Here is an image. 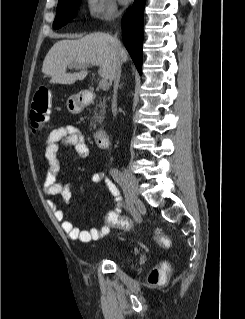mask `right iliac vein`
<instances>
[{
  "instance_id": "1",
  "label": "right iliac vein",
  "mask_w": 245,
  "mask_h": 319,
  "mask_svg": "<svg viewBox=\"0 0 245 319\" xmlns=\"http://www.w3.org/2000/svg\"><path fill=\"white\" fill-rule=\"evenodd\" d=\"M123 173H124V177H125L127 186H129L130 192L133 196L134 203L139 208L142 205V201L139 198L137 179L127 169H123Z\"/></svg>"
}]
</instances>
